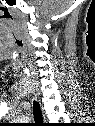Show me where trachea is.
<instances>
[{
    "label": "trachea",
    "mask_w": 95,
    "mask_h": 126,
    "mask_svg": "<svg viewBox=\"0 0 95 126\" xmlns=\"http://www.w3.org/2000/svg\"><path fill=\"white\" fill-rule=\"evenodd\" d=\"M33 115H34L35 124L37 125L43 124V117H42L40 105L37 101L33 102Z\"/></svg>",
    "instance_id": "obj_1"
}]
</instances>
